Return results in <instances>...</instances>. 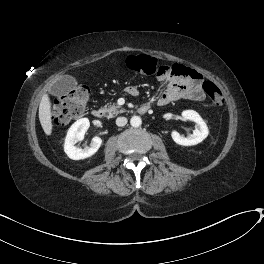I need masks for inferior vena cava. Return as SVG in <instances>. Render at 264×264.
Listing matches in <instances>:
<instances>
[{
    "label": "inferior vena cava",
    "mask_w": 264,
    "mask_h": 264,
    "mask_svg": "<svg viewBox=\"0 0 264 264\" xmlns=\"http://www.w3.org/2000/svg\"><path fill=\"white\" fill-rule=\"evenodd\" d=\"M127 124V118L126 117H118L116 119V125L117 126H125Z\"/></svg>",
    "instance_id": "obj_1"
}]
</instances>
